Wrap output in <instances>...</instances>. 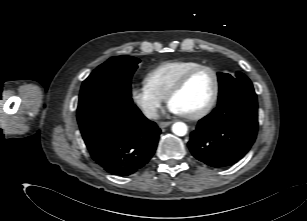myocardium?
I'll return each instance as SVG.
<instances>
[{
	"label": "myocardium",
	"instance_id": "myocardium-1",
	"mask_svg": "<svg viewBox=\"0 0 307 221\" xmlns=\"http://www.w3.org/2000/svg\"><path fill=\"white\" fill-rule=\"evenodd\" d=\"M200 70H208L212 73L214 79V89L209 102L201 110L193 114H188V115L181 114L182 117L189 120H198L205 117L211 112V110L216 105L220 93V77L219 73L215 68L209 65L201 64L188 70L175 82V84L172 86V88L169 90V92L165 97L167 103L170 104L172 98L176 96L186 86L190 78Z\"/></svg>",
	"mask_w": 307,
	"mask_h": 221
}]
</instances>
